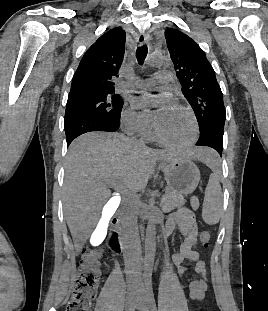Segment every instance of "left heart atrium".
<instances>
[{"label":"left heart atrium","mask_w":268,"mask_h":311,"mask_svg":"<svg viewBox=\"0 0 268 311\" xmlns=\"http://www.w3.org/2000/svg\"><path fill=\"white\" fill-rule=\"evenodd\" d=\"M149 97H155L159 100L160 108L154 113L156 121L161 120L168 113L177 108L174 98L168 93H162L158 95L146 94L141 97L133 98L132 105L136 108L146 107L149 105V102L147 101Z\"/></svg>","instance_id":"left-heart-atrium-1"}]
</instances>
